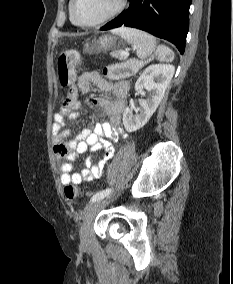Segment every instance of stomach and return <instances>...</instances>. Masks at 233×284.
<instances>
[{
    "label": "stomach",
    "mask_w": 233,
    "mask_h": 284,
    "mask_svg": "<svg viewBox=\"0 0 233 284\" xmlns=\"http://www.w3.org/2000/svg\"><path fill=\"white\" fill-rule=\"evenodd\" d=\"M113 48L114 38L111 35H103L97 41H93L92 44L86 43L84 45V51L86 52H93L95 50L107 51Z\"/></svg>",
    "instance_id": "1"
}]
</instances>
